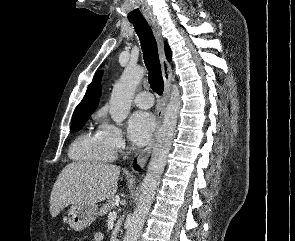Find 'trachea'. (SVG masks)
<instances>
[{"mask_svg": "<svg viewBox=\"0 0 295 241\" xmlns=\"http://www.w3.org/2000/svg\"><path fill=\"white\" fill-rule=\"evenodd\" d=\"M140 39L145 65L148 69L150 87L158 95L164 90L158 48L155 37L146 20L131 21Z\"/></svg>", "mask_w": 295, "mask_h": 241, "instance_id": "1", "label": "trachea"}]
</instances>
